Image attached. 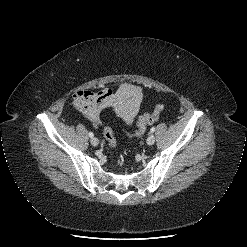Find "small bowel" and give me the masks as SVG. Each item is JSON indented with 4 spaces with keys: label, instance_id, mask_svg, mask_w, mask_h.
Here are the masks:
<instances>
[{
    "label": "small bowel",
    "instance_id": "c3829d8e",
    "mask_svg": "<svg viewBox=\"0 0 247 247\" xmlns=\"http://www.w3.org/2000/svg\"><path fill=\"white\" fill-rule=\"evenodd\" d=\"M113 99V90L101 87L96 90L76 92L72 97V103L94 126H98L102 110L111 105Z\"/></svg>",
    "mask_w": 247,
    "mask_h": 247
}]
</instances>
